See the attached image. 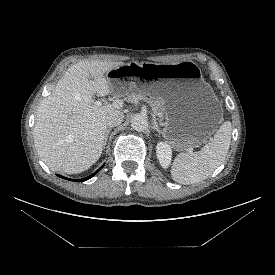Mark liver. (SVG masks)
<instances>
[{"label": "liver", "mask_w": 275, "mask_h": 275, "mask_svg": "<svg viewBox=\"0 0 275 275\" xmlns=\"http://www.w3.org/2000/svg\"><path fill=\"white\" fill-rule=\"evenodd\" d=\"M121 65L124 62L80 61L67 69L53 92L43 99L33 137L39 157L50 169L76 174L98 161L107 131L106 117L121 110L123 102L100 107L93 96L112 92L105 73Z\"/></svg>", "instance_id": "1"}]
</instances>
